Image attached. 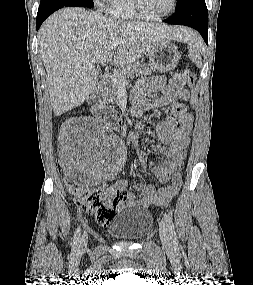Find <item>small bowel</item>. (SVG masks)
Here are the masks:
<instances>
[{"instance_id": "c3829d8e", "label": "small bowel", "mask_w": 253, "mask_h": 285, "mask_svg": "<svg viewBox=\"0 0 253 285\" xmlns=\"http://www.w3.org/2000/svg\"><path fill=\"white\" fill-rule=\"evenodd\" d=\"M161 92V96L153 103L144 101L148 95ZM190 93L184 88V78L180 74H174L169 79L162 76L140 80L131 92L132 115L139 117L143 112L155 109L169 108L172 119L160 121L154 127V133L161 142L152 146V150L165 157V160L152 167L151 172L159 182L168 183L166 186L155 190L151 185L137 183L135 189L139 196L128 193L127 206L148 207L150 205H167L178 193L181 186L180 170L186 157V148L190 142V132L193 125V117L186 112L184 104L190 99ZM120 117L119 113L115 114ZM119 125L118 121L114 122ZM135 139V137L133 138ZM68 146L65 152H68ZM142 167L148 166L147 156L135 150ZM66 162V156L64 157ZM114 188H126V181H117Z\"/></svg>"}]
</instances>
